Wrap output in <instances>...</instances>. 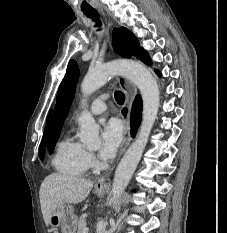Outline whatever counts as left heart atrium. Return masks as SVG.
I'll return each mask as SVG.
<instances>
[{"label":"left heart atrium","instance_id":"1","mask_svg":"<svg viewBox=\"0 0 227 233\" xmlns=\"http://www.w3.org/2000/svg\"><path fill=\"white\" fill-rule=\"evenodd\" d=\"M122 128L116 120L108 121L101 131L99 155L103 160L112 158L122 141Z\"/></svg>","mask_w":227,"mask_h":233}]
</instances>
